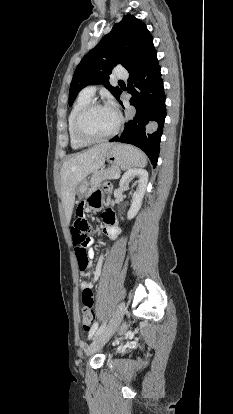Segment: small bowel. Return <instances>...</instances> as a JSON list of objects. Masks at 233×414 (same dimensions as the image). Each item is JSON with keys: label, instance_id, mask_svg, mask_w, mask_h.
Returning <instances> with one entry per match:
<instances>
[{"label": "small bowel", "instance_id": "small-bowel-1", "mask_svg": "<svg viewBox=\"0 0 233 414\" xmlns=\"http://www.w3.org/2000/svg\"><path fill=\"white\" fill-rule=\"evenodd\" d=\"M89 205H90V208H94V209L99 208L100 205H101V195L99 193H96V194L92 195V197L90 198V201H89ZM103 219H104V223H105L103 231L111 239H116L118 237V235L120 234V228L116 223L113 211L111 209H108L104 213ZM92 256H93V251L90 250L89 251V257H92ZM104 262H105V257H101L99 259L98 263H97L96 270H95L94 275H93V279L91 281H83L81 283L80 287H81L82 290L87 289V288H90V289L93 288L96 280L98 279V276H99L101 270L104 267ZM90 266H91V263H90ZM90 266H89V268H90ZM89 268L86 269V270H81L80 269L81 276H83V277L90 276ZM95 324L91 328V331H90L91 333H93L96 330Z\"/></svg>", "mask_w": 233, "mask_h": 414}]
</instances>
